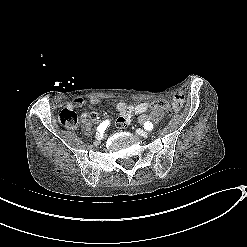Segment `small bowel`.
<instances>
[{"label": "small bowel", "mask_w": 247, "mask_h": 247, "mask_svg": "<svg viewBox=\"0 0 247 247\" xmlns=\"http://www.w3.org/2000/svg\"><path fill=\"white\" fill-rule=\"evenodd\" d=\"M100 100L97 97H94L91 99V103L94 105L99 104ZM184 99L182 95H176L173 98V105L174 106H179L183 104ZM85 104V100L83 98H77L74 100L73 103L69 104L68 107L70 109L74 107H81ZM116 110L119 112L120 116L117 120V125L121 128L127 127V125L130 123V119L132 115H140L141 120L145 121L148 119H156L159 116L158 111H154L150 114H145L148 109H149V104L148 103H139L137 105H127L126 103L120 102L116 104L115 106ZM83 118H88L89 115L87 113L82 114ZM91 118H95V114L90 115Z\"/></svg>", "instance_id": "c3829d8e"}]
</instances>
